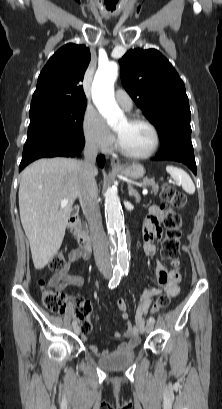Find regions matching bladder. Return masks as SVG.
<instances>
[{"label":"bladder","instance_id":"1","mask_svg":"<svg viewBox=\"0 0 222 409\" xmlns=\"http://www.w3.org/2000/svg\"><path fill=\"white\" fill-rule=\"evenodd\" d=\"M135 356L133 348L121 349L99 360V365L105 370H121L128 367Z\"/></svg>","mask_w":222,"mask_h":409}]
</instances>
